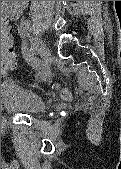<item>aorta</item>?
<instances>
[{"label": "aorta", "instance_id": "obj_1", "mask_svg": "<svg viewBox=\"0 0 121 169\" xmlns=\"http://www.w3.org/2000/svg\"><path fill=\"white\" fill-rule=\"evenodd\" d=\"M1 2H2L1 6L7 7L8 9L5 10L13 14L21 13L28 4V1H1Z\"/></svg>", "mask_w": 121, "mask_h": 169}]
</instances>
